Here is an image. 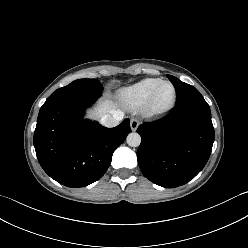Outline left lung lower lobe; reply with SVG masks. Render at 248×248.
<instances>
[{
    "label": "left lung lower lobe",
    "instance_id": "obj_1",
    "mask_svg": "<svg viewBox=\"0 0 248 248\" xmlns=\"http://www.w3.org/2000/svg\"><path fill=\"white\" fill-rule=\"evenodd\" d=\"M142 141L137 151L139 167L153 183L166 188L193 179L207 163L214 128L204 98L186 102L164 118L141 124Z\"/></svg>",
    "mask_w": 248,
    "mask_h": 248
}]
</instances>
